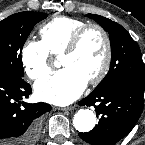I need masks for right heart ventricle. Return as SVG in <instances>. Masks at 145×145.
Listing matches in <instances>:
<instances>
[{
    "label": "right heart ventricle",
    "mask_w": 145,
    "mask_h": 145,
    "mask_svg": "<svg viewBox=\"0 0 145 145\" xmlns=\"http://www.w3.org/2000/svg\"><path fill=\"white\" fill-rule=\"evenodd\" d=\"M86 24L88 23L85 20L79 18L55 17L40 28L41 42L49 55L58 56L73 34Z\"/></svg>",
    "instance_id": "obj_1"
}]
</instances>
